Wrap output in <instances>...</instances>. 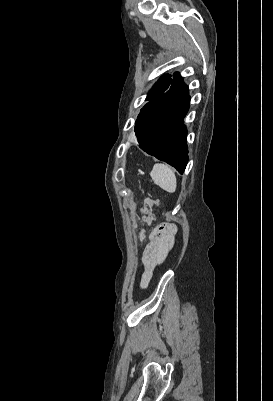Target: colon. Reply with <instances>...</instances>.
Returning <instances> with one entry per match:
<instances>
[{"instance_id": "obj_1", "label": "colon", "mask_w": 273, "mask_h": 401, "mask_svg": "<svg viewBox=\"0 0 273 401\" xmlns=\"http://www.w3.org/2000/svg\"><path fill=\"white\" fill-rule=\"evenodd\" d=\"M149 203H153L152 200L148 201ZM173 229L172 225L167 224V223H162L159 224L153 233V238H159L162 236L164 241H173L175 238V235L173 232H170Z\"/></svg>"}]
</instances>
